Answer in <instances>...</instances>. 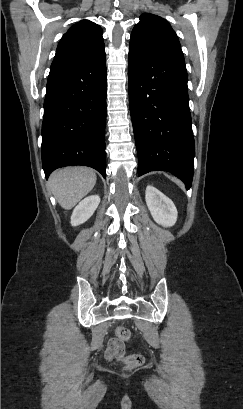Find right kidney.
Instances as JSON below:
<instances>
[{
    "mask_svg": "<svg viewBox=\"0 0 243 409\" xmlns=\"http://www.w3.org/2000/svg\"><path fill=\"white\" fill-rule=\"evenodd\" d=\"M100 203L99 195L84 198L73 210L71 225L78 226L86 222L95 212Z\"/></svg>",
    "mask_w": 243,
    "mask_h": 409,
    "instance_id": "right-kidney-1",
    "label": "right kidney"
}]
</instances>
